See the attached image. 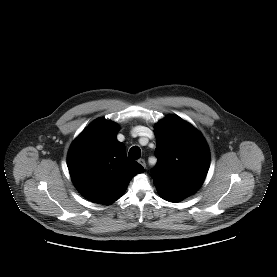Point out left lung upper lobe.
I'll return each instance as SVG.
<instances>
[{
    "label": "left lung upper lobe",
    "instance_id": "left-lung-upper-lobe-1",
    "mask_svg": "<svg viewBox=\"0 0 277 277\" xmlns=\"http://www.w3.org/2000/svg\"><path fill=\"white\" fill-rule=\"evenodd\" d=\"M157 164L151 170L159 193L186 198L203 183L210 162L208 146L188 122L170 115L155 128Z\"/></svg>",
    "mask_w": 277,
    "mask_h": 277
}]
</instances>
